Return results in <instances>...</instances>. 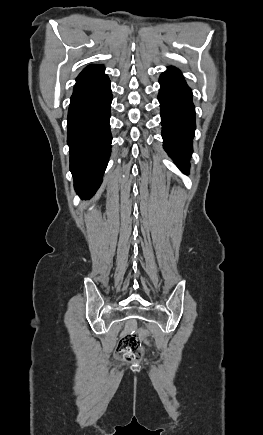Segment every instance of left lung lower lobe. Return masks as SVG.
<instances>
[{"mask_svg":"<svg viewBox=\"0 0 263 435\" xmlns=\"http://www.w3.org/2000/svg\"><path fill=\"white\" fill-rule=\"evenodd\" d=\"M158 100L161 108L164 149L178 168L187 174L196 128L192 91L181 72L169 67L161 74Z\"/></svg>","mask_w":263,"mask_h":435,"instance_id":"obj_1","label":"left lung lower lobe"}]
</instances>
